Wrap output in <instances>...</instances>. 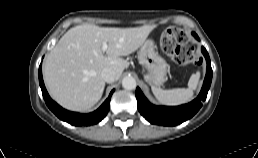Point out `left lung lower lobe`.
<instances>
[{
    "mask_svg": "<svg viewBox=\"0 0 258 158\" xmlns=\"http://www.w3.org/2000/svg\"><path fill=\"white\" fill-rule=\"evenodd\" d=\"M192 35L199 40L196 33L193 32ZM202 53L207 62L206 76L200 94L192 102L175 107L156 106L151 104L137 87L136 98L138 110L146 120L156 125L175 126L190 119L197 113L202 106V102L205 101L207 97L212 80L210 58L204 47H202ZM200 60L202 61V58Z\"/></svg>",
    "mask_w": 258,
    "mask_h": 158,
    "instance_id": "1",
    "label": "left lung lower lobe"
}]
</instances>
